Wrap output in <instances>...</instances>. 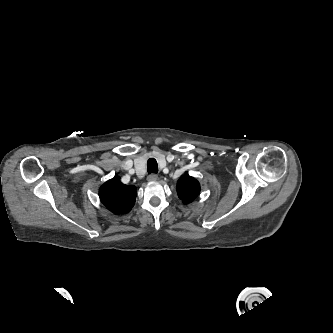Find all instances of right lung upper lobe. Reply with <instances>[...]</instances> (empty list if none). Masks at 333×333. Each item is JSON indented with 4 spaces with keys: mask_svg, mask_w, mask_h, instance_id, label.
<instances>
[{
    "mask_svg": "<svg viewBox=\"0 0 333 333\" xmlns=\"http://www.w3.org/2000/svg\"><path fill=\"white\" fill-rule=\"evenodd\" d=\"M99 197L101 202L111 212L125 214L134 206L136 187L124 185L120 180L113 178L100 187Z\"/></svg>",
    "mask_w": 333,
    "mask_h": 333,
    "instance_id": "1",
    "label": "right lung upper lobe"
}]
</instances>
